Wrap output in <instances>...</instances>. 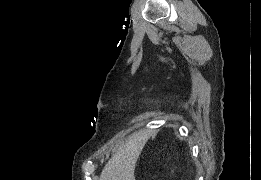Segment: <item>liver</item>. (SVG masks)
<instances>
[{
  "label": "liver",
  "mask_w": 261,
  "mask_h": 180,
  "mask_svg": "<svg viewBox=\"0 0 261 180\" xmlns=\"http://www.w3.org/2000/svg\"><path fill=\"white\" fill-rule=\"evenodd\" d=\"M146 142L145 132H134L107 162L100 180H135L134 170Z\"/></svg>",
  "instance_id": "1"
}]
</instances>
